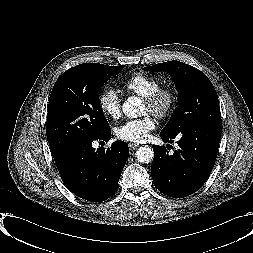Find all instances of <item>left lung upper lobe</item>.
<instances>
[{
	"mask_svg": "<svg viewBox=\"0 0 253 253\" xmlns=\"http://www.w3.org/2000/svg\"><path fill=\"white\" fill-rule=\"evenodd\" d=\"M143 70L168 72L178 89V106L162 135L174 136L194 124L221 125L217 93L203 72L180 61L159 63Z\"/></svg>",
	"mask_w": 253,
	"mask_h": 253,
	"instance_id": "obj_1",
	"label": "left lung upper lobe"
}]
</instances>
